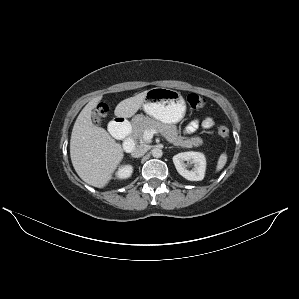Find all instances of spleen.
<instances>
[{
	"label": "spleen",
	"instance_id": "spleen-1",
	"mask_svg": "<svg viewBox=\"0 0 299 299\" xmlns=\"http://www.w3.org/2000/svg\"><path fill=\"white\" fill-rule=\"evenodd\" d=\"M227 154L225 152H223L217 162V166H216V172H219L220 170H222L224 168V166L227 163Z\"/></svg>",
	"mask_w": 299,
	"mask_h": 299
}]
</instances>
